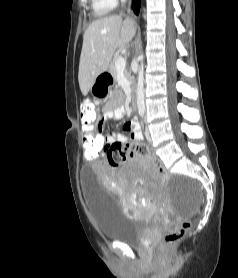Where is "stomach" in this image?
Segmentation results:
<instances>
[{
    "label": "stomach",
    "instance_id": "stomach-1",
    "mask_svg": "<svg viewBox=\"0 0 238 278\" xmlns=\"http://www.w3.org/2000/svg\"><path fill=\"white\" fill-rule=\"evenodd\" d=\"M114 77L109 74V69H102L101 74H97L94 84L90 85L93 99H108L109 86H113Z\"/></svg>",
    "mask_w": 238,
    "mask_h": 278
}]
</instances>
